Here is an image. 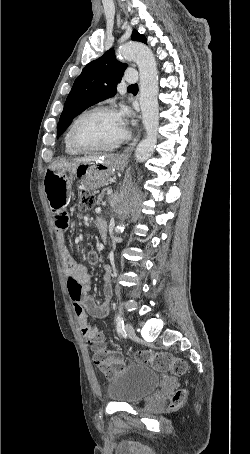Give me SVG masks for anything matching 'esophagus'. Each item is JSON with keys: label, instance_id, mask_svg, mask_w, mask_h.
<instances>
[{"label": "esophagus", "instance_id": "34e87169", "mask_svg": "<svg viewBox=\"0 0 250 454\" xmlns=\"http://www.w3.org/2000/svg\"><path fill=\"white\" fill-rule=\"evenodd\" d=\"M140 132L137 134V136L134 138V140L123 150V152L120 154V159L122 160H128L129 157L131 156L134 147L136 146L137 142L140 139Z\"/></svg>", "mask_w": 250, "mask_h": 454}]
</instances>
